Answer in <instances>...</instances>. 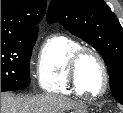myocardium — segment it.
Segmentation results:
<instances>
[{
  "label": "myocardium",
  "mask_w": 123,
  "mask_h": 113,
  "mask_svg": "<svg viewBox=\"0 0 123 113\" xmlns=\"http://www.w3.org/2000/svg\"><path fill=\"white\" fill-rule=\"evenodd\" d=\"M90 54L94 56L99 62L102 73H103V87L102 90L96 94L86 93L84 89H82L80 80H79V65L84 58L85 55ZM69 75L70 80L74 88L78 91L79 94H82L89 98H99L102 97L108 90L109 87V72L107 64L102 56V54L93 47L89 46H81L79 47L73 54L69 62Z\"/></svg>",
  "instance_id": "1"
}]
</instances>
